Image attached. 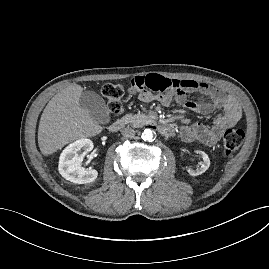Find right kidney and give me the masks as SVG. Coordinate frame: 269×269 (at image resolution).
I'll return each instance as SVG.
<instances>
[{"mask_svg": "<svg viewBox=\"0 0 269 269\" xmlns=\"http://www.w3.org/2000/svg\"><path fill=\"white\" fill-rule=\"evenodd\" d=\"M90 139L83 138L67 146L60 155L59 173L66 179L77 184L93 182L98 172L95 169H85L81 166L84 156L93 149Z\"/></svg>", "mask_w": 269, "mask_h": 269, "instance_id": "ca27d5eb", "label": "right kidney"}]
</instances>
